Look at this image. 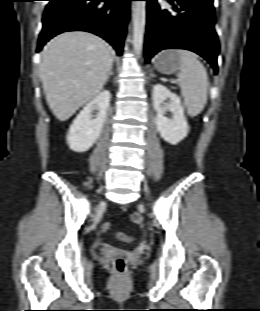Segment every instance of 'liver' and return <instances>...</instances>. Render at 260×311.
Instances as JSON below:
<instances>
[{"instance_id":"liver-1","label":"liver","mask_w":260,"mask_h":311,"mask_svg":"<svg viewBox=\"0 0 260 311\" xmlns=\"http://www.w3.org/2000/svg\"><path fill=\"white\" fill-rule=\"evenodd\" d=\"M112 53L102 38L82 31L62 33L46 45L40 78L46 101L58 120H68L102 90Z\"/></svg>"}]
</instances>
